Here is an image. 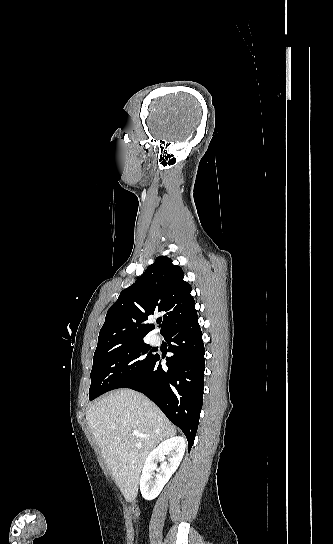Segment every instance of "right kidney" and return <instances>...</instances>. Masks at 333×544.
Returning <instances> with one entry per match:
<instances>
[{"label": "right kidney", "instance_id": "ca27d5eb", "mask_svg": "<svg viewBox=\"0 0 333 544\" xmlns=\"http://www.w3.org/2000/svg\"><path fill=\"white\" fill-rule=\"evenodd\" d=\"M185 448V440L182 437H173L163 441L148 455L140 478V491L144 499L153 500L160 494L180 465ZM166 454L170 455L169 462L165 461ZM158 461H163L160 469L157 468ZM154 471L158 473L155 475V481H152Z\"/></svg>", "mask_w": 333, "mask_h": 544}]
</instances>
